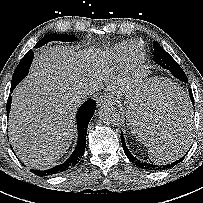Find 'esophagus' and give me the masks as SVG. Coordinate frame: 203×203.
<instances>
[{
    "label": "esophagus",
    "mask_w": 203,
    "mask_h": 203,
    "mask_svg": "<svg viewBox=\"0 0 203 203\" xmlns=\"http://www.w3.org/2000/svg\"><path fill=\"white\" fill-rule=\"evenodd\" d=\"M112 102H113L112 98L110 96H108V95H101L97 99V105L98 106L108 105V104H110Z\"/></svg>",
    "instance_id": "esophagus-1"
}]
</instances>
